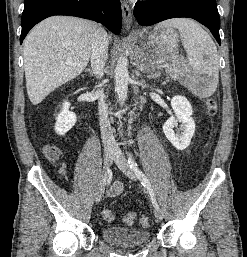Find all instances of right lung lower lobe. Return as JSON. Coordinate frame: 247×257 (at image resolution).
<instances>
[{"instance_id":"obj_1","label":"right lung lower lobe","mask_w":247,"mask_h":257,"mask_svg":"<svg viewBox=\"0 0 247 257\" xmlns=\"http://www.w3.org/2000/svg\"><path fill=\"white\" fill-rule=\"evenodd\" d=\"M53 15L86 18L102 23L114 34L121 31L119 0H25L20 43L35 24Z\"/></svg>"}]
</instances>
